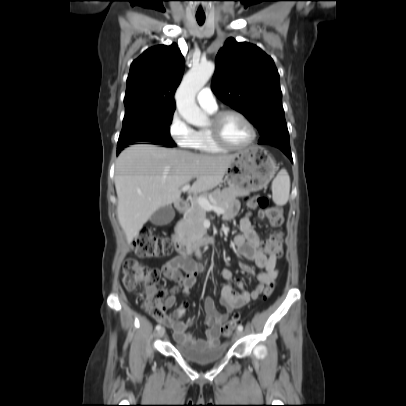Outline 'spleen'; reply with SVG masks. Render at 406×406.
I'll return each instance as SVG.
<instances>
[{
  "instance_id": "spleen-1",
  "label": "spleen",
  "mask_w": 406,
  "mask_h": 406,
  "mask_svg": "<svg viewBox=\"0 0 406 406\" xmlns=\"http://www.w3.org/2000/svg\"><path fill=\"white\" fill-rule=\"evenodd\" d=\"M273 201L277 205H285L290 194V177L286 169H281L272 182Z\"/></svg>"
}]
</instances>
